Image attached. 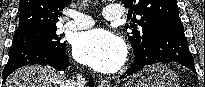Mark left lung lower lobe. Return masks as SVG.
Wrapping results in <instances>:
<instances>
[{
    "label": "left lung lower lobe",
    "instance_id": "0a47b994",
    "mask_svg": "<svg viewBox=\"0 0 205 87\" xmlns=\"http://www.w3.org/2000/svg\"><path fill=\"white\" fill-rule=\"evenodd\" d=\"M159 62H177L195 71L194 60L188 50L181 22L170 23L158 29L144 50L135 51L133 64L120 78L131 76L146 65Z\"/></svg>",
    "mask_w": 205,
    "mask_h": 87
}]
</instances>
